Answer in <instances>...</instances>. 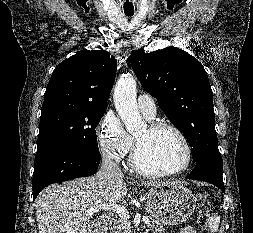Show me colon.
<instances>
[{
    "instance_id": "obj_1",
    "label": "colon",
    "mask_w": 253,
    "mask_h": 233,
    "mask_svg": "<svg viewBox=\"0 0 253 233\" xmlns=\"http://www.w3.org/2000/svg\"><path fill=\"white\" fill-rule=\"evenodd\" d=\"M209 212L210 203L206 199L202 198L201 209L198 217V223L201 227V233H212V230L208 226Z\"/></svg>"
}]
</instances>
